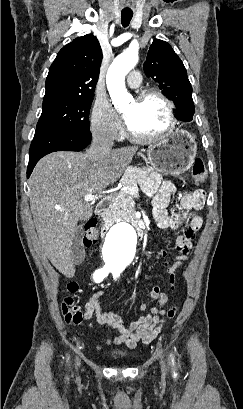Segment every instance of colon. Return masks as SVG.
<instances>
[{
  "label": "colon",
  "instance_id": "obj_1",
  "mask_svg": "<svg viewBox=\"0 0 243 409\" xmlns=\"http://www.w3.org/2000/svg\"><path fill=\"white\" fill-rule=\"evenodd\" d=\"M191 174L194 183L201 184L207 178V169L204 162L200 159H197L193 162L191 168ZM98 241V233L96 230L95 222L90 221L85 227V232L83 235V244L85 247H93ZM78 285L75 282H71L67 285L66 292L68 294H73L77 292ZM61 312L64 320L70 324H78L83 318L84 314L82 311L75 305L74 300L71 296H66L61 304ZM177 314V308L171 307L166 315L165 321L173 319Z\"/></svg>",
  "mask_w": 243,
  "mask_h": 409
}]
</instances>
